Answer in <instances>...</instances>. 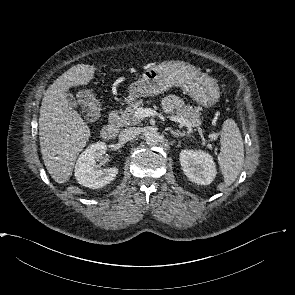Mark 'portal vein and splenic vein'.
<instances>
[{
    "instance_id": "1",
    "label": "portal vein and splenic vein",
    "mask_w": 295,
    "mask_h": 295,
    "mask_svg": "<svg viewBox=\"0 0 295 295\" xmlns=\"http://www.w3.org/2000/svg\"><path fill=\"white\" fill-rule=\"evenodd\" d=\"M136 116L139 118H144V117H150L152 115H155V111L152 110L151 108H138L137 111L135 112ZM171 121L174 122H178L188 128H192L194 127V125L192 123H190L189 121H187L185 118L181 117V116H170L168 117ZM213 137V136H211Z\"/></svg>"
}]
</instances>
